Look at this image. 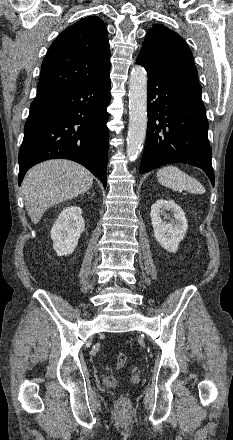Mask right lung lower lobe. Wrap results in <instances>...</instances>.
I'll return each instance as SVG.
<instances>
[{
	"label": "right lung lower lobe",
	"mask_w": 233,
	"mask_h": 440,
	"mask_svg": "<svg viewBox=\"0 0 233 440\" xmlns=\"http://www.w3.org/2000/svg\"><path fill=\"white\" fill-rule=\"evenodd\" d=\"M109 74L86 84L37 93L19 151V185L35 164L65 158L85 166L106 188Z\"/></svg>",
	"instance_id": "obj_1"
}]
</instances>
